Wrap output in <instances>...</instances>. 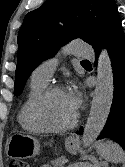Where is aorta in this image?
Listing matches in <instances>:
<instances>
[{
    "mask_svg": "<svg viewBox=\"0 0 125 167\" xmlns=\"http://www.w3.org/2000/svg\"><path fill=\"white\" fill-rule=\"evenodd\" d=\"M113 72L105 49L101 51L97 67V83L90 113L83 132L84 146H89L101 133L110 113L113 100Z\"/></svg>",
    "mask_w": 125,
    "mask_h": 167,
    "instance_id": "762f6f07",
    "label": "aorta"
}]
</instances>
